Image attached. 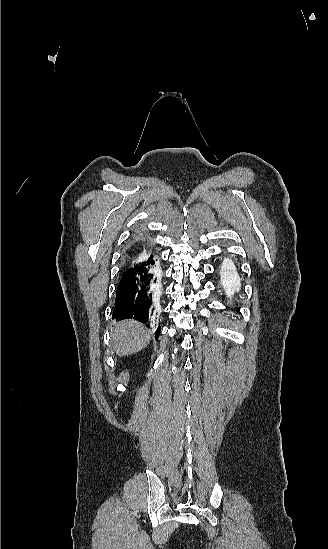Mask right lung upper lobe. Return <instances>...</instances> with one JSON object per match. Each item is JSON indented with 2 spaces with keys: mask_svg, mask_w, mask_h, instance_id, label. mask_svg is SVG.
Segmentation results:
<instances>
[{
  "mask_svg": "<svg viewBox=\"0 0 328 549\" xmlns=\"http://www.w3.org/2000/svg\"><path fill=\"white\" fill-rule=\"evenodd\" d=\"M133 246V251L128 253L125 259L128 271H131L139 260L154 256L150 243L145 237H141L138 241L134 242Z\"/></svg>",
  "mask_w": 328,
  "mask_h": 549,
  "instance_id": "1",
  "label": "right lung upper lobe"
}]
</instances>
